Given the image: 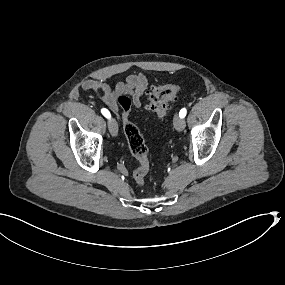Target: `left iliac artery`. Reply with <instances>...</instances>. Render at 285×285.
Masks as SVG:
<instances>
[{"label":"left iliac artery","mask_w":285,"mask_h":285,"mask_svg":"<svg viewBox=\"0 0 285 285\" xmlns=\"http://www.w3.org/2000/svg\"><path fill=\"white\" fill-rule=\"evenodd\" d=\"M187 110L185 108L181 109L179 112V116L181 118H184L186 116Z\"/></svg>","instance_id":"44dca946"}]
</instances>
